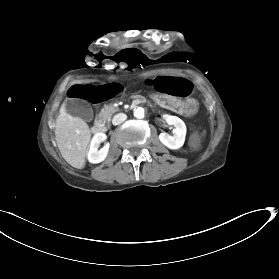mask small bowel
Returning <instances> with one entry per match:
<instances>
[{"instance_id": "small-bowel-1", "label": "small bowel", "mask_w": 279, "mask_h": 279, "mask_svg": "<svg viewBox=\"0 0 279 279\" xmlns=\"http://www.w3.org/2000/svg\"><path fill=\"white\" fill-rule=\"evenodd\" d=\"M146 84L155 92L174 97H187L192 93V83L180 76L160 75L149 78Z\"/></svg>"}]
</instances>
